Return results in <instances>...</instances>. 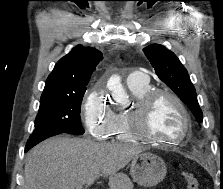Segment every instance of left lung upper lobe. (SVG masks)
I'll list each match as a JSON object with an SVG mask.
<instances>
[{
    "mask_svg": "<svg viewBox=\"0 0 223 189\" xmlns=\"http://www.w3.org/2000/svg\"><path fill=\"white\" fill-rule=\"evenodd\" d=\"M143 52L154 67L158 77L188 105L197 121L202 122L203 114L197 101L195 88L187 70L176 55L159 44H152L144 48Z\"/></svg>",
    "mask_w": 223,
    "mask_h": 189,
    "instance_id": "left-lung-upper-lobe-1",
    "label": "left lung upper lobe"
}]
</instances>
